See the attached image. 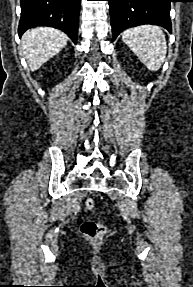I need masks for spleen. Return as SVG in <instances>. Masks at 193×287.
I'll return each mask as SVG.
<instances>
[{"instance_id": "spleen-1", "label": "spleen", "mask_w": 193, "mask_h": 287, "mask_svg": "<svg viewBox=\"0 0 193 287\" xmlns=\"http://www.w3.org/2000/svg\"><path fill=\"white\" fill-rule=\"evenodd\" d=\"M122 39L149 70L160 69L167 53L165 35L160 27H133L123 32Z\"/></svg>"}]
</instances>
